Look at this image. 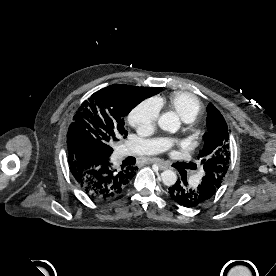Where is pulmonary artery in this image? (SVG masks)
I'll use <instances>...</instances> for the list:
<instances>
[{
    "instance_id": "obj_1",
    "label": "pulmonary artery",
    "mask_w": 276,
    "mask_h": 276,
    "mask_svg": "<svg viewBox=\"0 0 276 276\" xmlns=\"http://www.w3.org/2000/svg\"><path fill=\"white\" fill-rule=\"evenodd\" d=\"M171 144L172 141L163 139L142 140L136 143L126 144V146L123 148V154L152 155L166 150L171 146ZM198 177H200V175Z\"/></svg>"
}]
</instances>
